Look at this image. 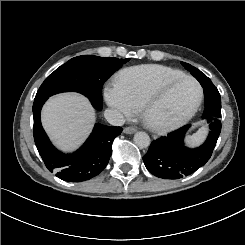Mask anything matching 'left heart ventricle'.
<instances>
[{"label": "left heart ventricle", "mask_w": 245, "mask_h": 245, "mask_svg": "<svg viewBox=\"0 0 245 245\" xmlns=\"http://www.w3.org/2000/svg\"><path fill=\"white\" fill-rule=\"evenodd\" d=\"M197 96L195 85L187 80L162 87L151 98L156 119L177 118L185 114Z\"/></svg>", "instance_id": "1"}]
</instances>
